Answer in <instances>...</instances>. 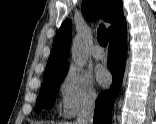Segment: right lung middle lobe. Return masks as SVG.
I'll return each instance as SVG.
<instances>
[{"mask_svg":"<svg viewBox=\"0 0 156 124\" xmlns=\"http://www.w3.org/2000/svg\"><path fill=\"white\" fill-rule=\"evenodd\" d=\"M66 74L67 71L43 79V85L36 103L37 113H39L43 108L47 109L53 106L60 84L64 80Z\"/></svg>","mask_w":156,"mask_h":124,"instance_id":"dd1d6c3e","label":"right lung middle lobe"}]
</instances>
